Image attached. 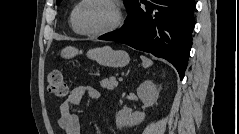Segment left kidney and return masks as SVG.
<instances>
[{
  "instance_id": "obj_1",
  "label": "left kidney",
  "mask_w": 239,
  "mask_h": 134,
  "mask_svg": "<svg viewBox=\"0 0 239 134\" xmlns=\"http://www.w3.org/2000/svg\"><path fill=\"white\" fill-rule=\"evenodd\" d=\"M137 95L146 107L152 106L159 95V90L152 80H146L137 88ZM145 118L144 112L130 113L125 109L116 114V126L119 129L139 125Z\"/></svg>"
}]
</instances>
